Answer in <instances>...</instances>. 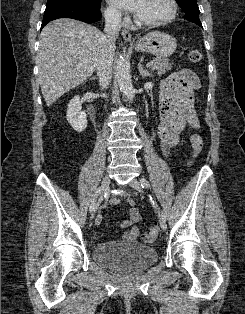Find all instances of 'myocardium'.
Returning <instances> with one entry per match:
<instances>
[{
    "mask_svg": "<svg viewBox=\"0 0 245 314\" xmlns=\"http://www.w3.org/2000/svg\"><path fill=\"white\" fill-rule=\"evenodd\" d=\"M168 2L170 5V11L166 16L154 21L141 20L140 18L135 16V23L142 27H158L171 22L177 15L178 4L176 0H168Z\"/></svg>",
    "mask_w": 245,
    "mask_h": 314,
    "instance_id": "f54148a6",
    "label": "myocardium"
}]
</instances>
